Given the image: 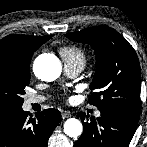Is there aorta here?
I'll list each match as a JSON object with an SVG mask.
<instances>
[{
  "instance_id": "762f6f07",
  "label": "aorta",
  "mask_w": 147,
  "mask_h": 147,
  "mask_svg": "<svg viewBox=\"0 0 147 147\" xmlns=\"http://www.w3.org/2000/svg\"><path fill=\"white\" fill-rule=\"evenodd\" d=\"M33 71L36 77L43 81L56 80L62 72L60 60L53 54H41L33 63ZM82 123L75 118H70L64 123V132L69 137H78L82 134Z\"/></svg>"
}]
</instances>
